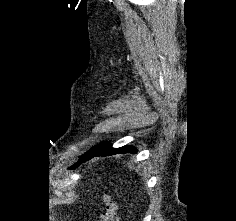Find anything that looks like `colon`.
I'll use <instances>...</instances> for the list:
<instances>
[{"label":"colon","instance_id":"1","mask_svg":"<svg viewBox=\"0 0 236 221\" xmlns=\"http://www.w3.org/2000/svg\"><path fill=\"white\" fill-rule=\"evenodd\" d=\"M100 221H120L118 204L111 195L104 197V210Z\"/></svg>","mask_w":236,"mask_h":221}]
</instances>
